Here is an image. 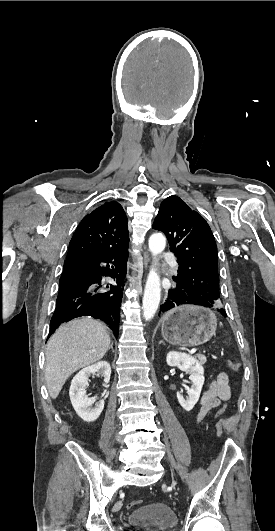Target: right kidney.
<instances>
[{
	"mask_svg": "<svg viewBox=\"0 0 275 531\" xmlns=\"http://www.w3.org/2000/svg\"><path fill=\"white\" fill-rule=\"evenodd\" d=\"M92 373H101L104 377V383H109L111 377V367L107 361H99L91 367H85L82 371H79L71 381V387L69 389V397L72 403L74 411H76L78 417H81L86 423H91V421H96L99 415H101L104 409V401H98L96 403L97 397H87L86 387L88 385V377ZM95 407H92L94 405Z\"/></svg>",
	"mask_w": 275,
	"mask_h": 531,
	"instance_id": "1",
	"label": "right kidney"
}]
</instances>
